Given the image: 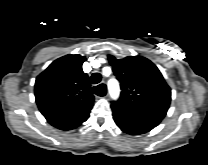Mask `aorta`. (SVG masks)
I'll list each match as a JSON object with an SVG mask.
<instances>
[{"mask_svg":"<svg viewBox=\"0 0 208 165\" xmlns=\"http://www.w3.org/2000/svg\"><path fill=\"white\" fill-rule=\"evenodd\" d=\"M109 93L112 98H117L119 95V84L116 80L111 79L108 83Z\"/></svg>","mask_w":208,"mask_h":165,"instance_id":"762f6f07","label":"aorta"}]
</instances>
